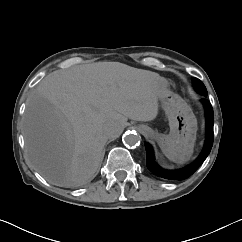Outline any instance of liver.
I'll list each match as a JSON object with an SVG mask.
<instances>
[{
	"label": "liver",
	"instance_id": "obj_1",
	"mask_svg": "<svg viewBox=\"0 0 242 242\" xmlns=\"http://www.w3.org/2000/svg\"><path fill=\"white\" fill-rule=\"evenodd\" d=\"M169 83L158 73L120 62H96L47 75L28 97L23 135L28 158L51 184L93 179L114 120L151 121ZM121 131V133H122Z\"/></svg>",
	"mask_w": 242,
	"mask_h": 242
}]
</instances>
